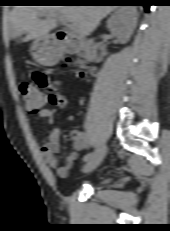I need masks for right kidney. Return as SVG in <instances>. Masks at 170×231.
I'll list each match as a JSON object with an SVG mask.
<instances>
[{
	"instance_id": "right-kidney-1",
	"label": "right kidney",
	"mask_w": 170,
	"mask_h": 231,
	"mask_svg": "<svg viewBox=\"0 0 170 231\" xmlns=\"http://www.w3.org/2000/svg\"><path fill=\"white\" fill-rule=\"evenodd\" d=\"M138 14L134 7H121L108 19L107 27L116 34L120 43L129 41L137 24Z\"/></svg>"
}]
</instances>
